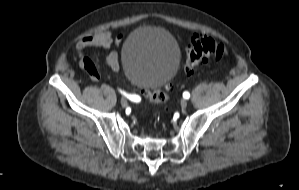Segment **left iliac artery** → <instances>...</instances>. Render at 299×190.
Instances as JSON below:
<instances>
[{
	"instance_id": "obj_1",
	"label": "left iliac artery",
	"mask_w": 299,
	"mask_h": 190,
	"mask_svg": "<svg viewBox=\"0 0 299 190\" xmlns=\"http://www.w3.org/2000/svg\"><path fill=\"white\" fill-rule=\"evenodd\" d=\"M183 97H184L185 99H189V97H190L189 92L185 91V92L183 93Z\"/></svg>"
}]
</instances>
